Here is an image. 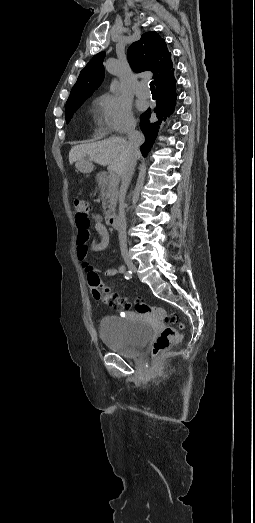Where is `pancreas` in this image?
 Listing matches in <instances>:
<instances>
[{
    "mask_svg": "<svg viewBox=\"0 0 255 523\" xmlns=\"http://www.w3.org/2000/svg\"><path fill=\"white\" fill-rule=\"evenodd\" d=\"M96 180L100 190L103 212L105 216H112L118 200L119 176L117 174L111 175L109 172H99Z\"/></svg>",
    "mask_w": 255,
    "mask_h": 523,
    "instance_id": "cf45deb5",
    "label": "pancreas"
}]
</instances>
